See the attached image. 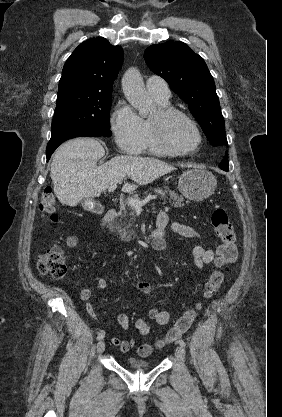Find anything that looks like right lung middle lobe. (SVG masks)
<instances>
[{"label":"right lung middle lobe","mask_w":282,"mask_h":417,"mask_svg":"<svg viewBox=\"0 0 282 417\" xmlns=\"http://www.w3.org/2000/svg\"><path fill=\"white\" fill-rule=\"evenodd\" d=\"M111 92L72 91L58 93L52 135L80 128L110 137Z\"/></svg>","instance_id":"obj_1"}]
</instances>
